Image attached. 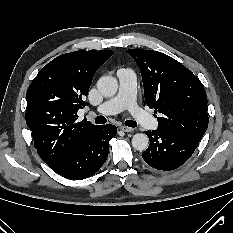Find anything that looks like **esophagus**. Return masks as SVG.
Instances as JSON below:
<instances>
[{"instance_id": "1", "label": "esophagus", "mask_w": 233, "mask_h": 233, "mask_svg": "<svg viewBox=\"0 0 233 233\" xmlns=\"http://www.w3.org/2000/svg\"><path fill=\"white\" fill-rule=\"evenodd\" d=\"M120 129L124 132H133V128L122 125Z\"/></svg>"}]
</instances>
